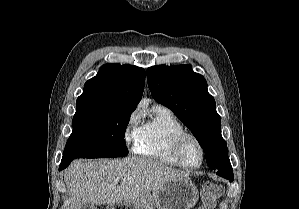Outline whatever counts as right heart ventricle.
I'll list each match as a JSON object with an SVG mask.
<instances>
[{
    "instance_id": "e07e8e85",
    "label": "right heart ventricle",
    "mask_w": 299,
    "mask_h": 209,
    "mask_svg": "<svg viewBox=\"0 0 299 209\" xmlns=\"http://www.w3.org/2000/svg\"><path fill=\"white\" fill-rule=\"evenodd\" d=\"M185 132L182 123L169 109L155 105L137 128L133 150L146 158L178 166L172 145L175 138Z\"/></svg>"
}]
</instances>
